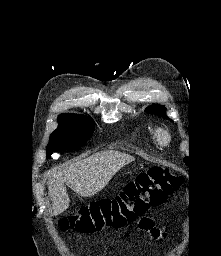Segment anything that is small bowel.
<instances>
[{"mask_svg": "<svg viewBox=\"0 0 221 256\" xmlns=\"http://www.w3.org/2000/svg\"><path fill=\"white\" fill-rule=\"evenodd\" d=\"M139 225L141 229L147 231L153 239H158L162 235V230L156 227L154 221L150 218H141Z\"/></svg>", "mask_w": 221, "mask_h": 256, "instance_id": "c3829d8e", "label": "small bowel"}]
</instances>
